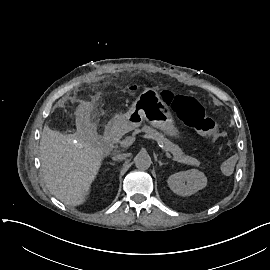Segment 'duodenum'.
<instances>
[{"mask_svg":"<svg viewBox=\"0 0 270 270\" xmlns=\"http://www.w3.org/2000/svg\"><path fill=\"white\" fill-rule=\"evenodd\" d=\"M125 122L123 120H114L106 127L103 141L107 146L116 145L124 132Z\"/></svg>","mask_w":270,"mask_h":270,"instance_id":"duodenum-1","label":"duodenum"}]
</instances>
